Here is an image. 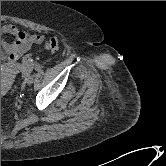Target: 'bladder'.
<instances>
[{
  "label": "bladder",
  "mask_w": 166,
  "mask_h": 166,
  "mask_svg": "<svg viewBox=\"0 0 166 166\" xmlns=\"http://www.w3.org/2000/svg\"><path fill=\"white\" fill-rule=\"evenodd\" d=\"M3 59V50L1 49V60ZM7 90V84H1V97L4 95L5 91Z\"/></svg>",
  "instance_id": "obj_1"
}]
</instances>
